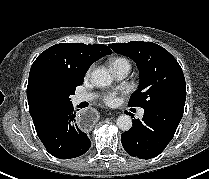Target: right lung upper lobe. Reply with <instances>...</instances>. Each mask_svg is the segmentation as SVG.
I'll return each instance as SVG.
<instances>
[{
    "label": "right lung upper lobe",
    "mask_w": 209,
    "mask_h": 179,
    "mask_svg": "<svg viewBox=\"0 0 209 179\" xmlns=\"http://www.w3.org/2000/svg\"><path fill=\"white\" fill-rule=\"evenodd\" d=\"M111 53L106 45L83 43H60L42 52L31 66L27 86L29 112L34 125L49 115L39 101L43 86H79L90 65Z\"/></svg>",
    "instance_id": "obj_1"
}]
</instances>
